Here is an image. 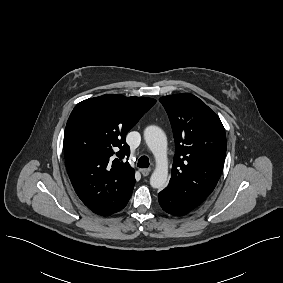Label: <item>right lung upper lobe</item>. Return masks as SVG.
Wrapping results in <instances>:
<instances>
[{"mask_svg": "<svg viewBox=\"0 0 283 283\" xmlns=\"http://www.w3.org/2000/svg\"><path fill=\"white\" fill-rule=\"evenodd\" d=\"M155 102L105 94L71 112L64 135L66 168L77 195L94 213H116L131 197L135 172L122 160L130 155L125 137Z\"/></svg>", "mask_w": 283, "mask_h": 283, "instance_id": "cb5924a9", "label": "right lung upper lobe"}]
</instances>
